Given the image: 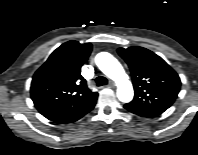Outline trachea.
Segmentation results:
<instances>
[{
  "label": "trachea",
  "instance_id": "3493384b",
  "mask_svg": "<svg viewBox=\"0 0 198 155\" xmlns=\"http://www.w3.org/2000/svg\"><path fill=\"white\" fill-rule=\"evenodd\" d=\"M107 79L103 76H99L96 78V84L97 86H103V85H106L107 84Z\"/></svg>",
  "mask_w": 198,
  "mask_h": 155
}]
</instances>
